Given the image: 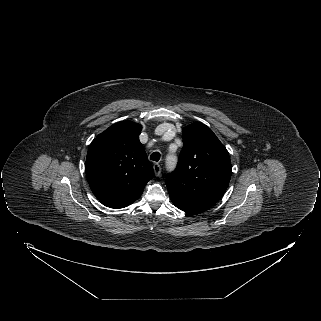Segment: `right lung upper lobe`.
I'll use <instances>...</instances> for the list:
<instances>
[{"label":"right lung upper lobe","mask_w":321,"mask_h":321,"mask_svg":"<svg viewBox=\"0 0 321 321\" xmlns=\"http://www.w3.org/2000/svg\"><path fill=\"white\" fill-rule=\"evenodd\" d=\"M141 125L132 121L113 124L90 144L86 176L97 199L119 209L136 201L154 170L139 141Z\"/></svg>","instance_id":"obj_1"}]
</instances>
